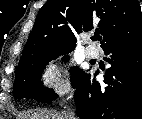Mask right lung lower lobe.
<instances>
[{
    "instance_id": "obj_1",
    "label": "right lung lower lobe",
    "mask_w": 142,
    "mask_h": 119,
    "mask_svg": "<svg viewBox=\"0 0 142 119\" xmlns=\"http://www.w3.org/2000/svg\"><path fill=\"white\" fill-rule=\"evenodd\" d=\"M111 67L104 84L84 73L75 87L80 119H142V34L104 49Z\"/></svg>"
}]
</instances>
